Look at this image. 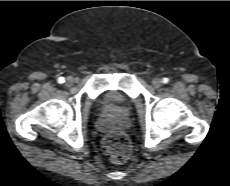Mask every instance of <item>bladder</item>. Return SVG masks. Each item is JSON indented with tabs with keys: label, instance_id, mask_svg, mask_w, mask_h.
<instances>
[{
	"label": "bladder",
	"instance_id": "31cf9c89",
	"mask_svg": "<svg viewBox=\"0 0 230 186\" xmlns=\"http://www.w3.org/2000/svg\"><path fill=\"white\" fill-rule=\"evenodd\" d=\"M125 105L126 102L120 95L116 92H110L104 97L101 107L104 111L111 112L122 109Z\"/></svg>",
	"mask_w": 230,
	"mask_h": 186
}]
</instances>
